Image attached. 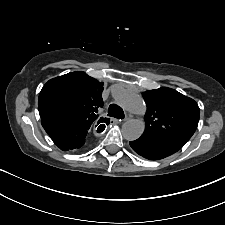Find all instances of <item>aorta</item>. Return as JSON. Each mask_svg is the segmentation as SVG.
<instances>
[{"mask_svg": "<svg viewBox=\"0 0 225 225\" xmlns=\"http://www.w3.org/2000/svg\"><path fill=\"white\" fill-rule=\"evenodd\" d=\"M116 103L129 112L136 114H143L146 110L145 102L143 99L130 91L121 89L115 95ZM145 129V123L142 120L130 119L122 126L123 137L128 141L138 139Z\"/></svg>", "mask_w": 225, "mask_h": 225, "instance_id": "1", "label": "aorta"}]
</instances>
